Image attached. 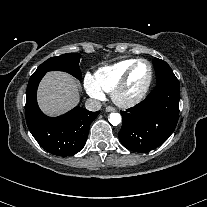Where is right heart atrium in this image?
Wrapping results in <instances>:
<instances>
[{
    "mask_svg": "<svg viewBox=\"0 0 207 207\" xmlns=\"http://www.w3.org/2000/svg\"><path fill=\"white\" fill-rule=\"evenodd\" d=\"M86 90L95 98H102L103 91L96 85V83L90 78L87 77L84 82Z\"/></svg>",
    "mask_w": 207,
    "mask_h": 207,
    "instance_id": "d8ad5b80",
    "label": "right heart atrium"
}]
</instances>
